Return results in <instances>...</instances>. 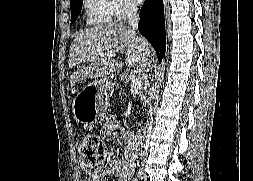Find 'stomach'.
Masks as SVG:
<instances>
[{"instance_id": "1", "label": "stomach", "mask_w": 253, "mask_h": 181, "mask_svg": "<svg viewBox=\"0 0 253 181\" xmlns=\"http://www.w3.org/2000/svg\"><path fill=\"white\" fill-rule=\"evenodd\" d=\"M114 84L111 77L97 78L88 85L74 100V114L77 120L82 122H93L99 119L107 110L110 92ZM81 97V98H80Z\"/></svg>"}]
</instances>
